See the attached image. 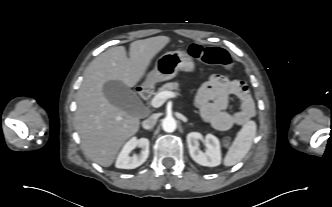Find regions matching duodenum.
<instances>
[{
    "mask_svg": "<svg viewBox=\"0 0 332 207\" xmlns=\"http://www.w3.org/2000/svg\"><path fill=\"white\" fill-rule=\"evenodd\" d=\"M138 95L142 100H147L150 95V91L147 87H141L138 89Z\"/></svg>",
    "mask_w": 332,
    "mask_h": 207,
    "instance_id": "duodenum-1",
    "label": "duodenum"
}]
</instances>
